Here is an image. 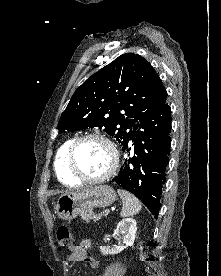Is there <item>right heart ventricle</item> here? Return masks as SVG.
<instances>
[{
    "label": "right heart ventricle",
    "instance_id": "e07e8e85",
    "mask_svg": "<svg viewBox=\"0 0 221 276\" xmlns=\"http://www.w3.org/2000/svg\"><path fill=\"white\" fill-rule=\"evenodd\" d=\"M72 141L73 139H67L61 144L57 150L54 161L56 175L59 180L66 185H77L80 182L70 174L66 163L67 150Z\"/></svg>",
    "mask_w": 221,
    "mask_h": 276
}]
</instances>
